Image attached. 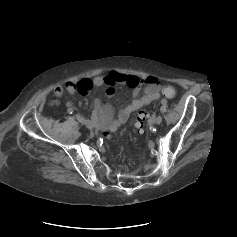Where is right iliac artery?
Segmentation results:
<instances>
[{
  "instance_id": "right-iliac-artery-1",
  "label": "right iliac artery",
  "mask_w": 237,
  "mask_h": 237,
  "mask_svg": "<svg viewBox=\"0 0 237 237\" xmlns=\"http://www.w3.org/2000/svg\"><path fill=\"white\" fill-rule=\"evenodd\" d=\"M67 112H68L69 114H72V113L74 112V110H73L72 108H68V109H67Z\"/></svg>"
}]
</instances>
